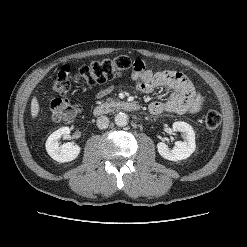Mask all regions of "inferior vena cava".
I'll list each match as a JSON object with an SVG mask.
<instances>
[{
  "mask_svg": "<svg viewBox=\"0 0 247 247\" xmlns=\"http://www.w3.org/2000/svg\"><path fill=\"white\" fill-rule=\"evenodd\" d=\"M109 126V119L106 116H100L97 118V127L99 129H106Z\"/></svg>",
  "mask_w": 247,
  "mask_h": 247,
  "instance_id": "1",
  "label": "inferior vena cava"
}]
</instances>
